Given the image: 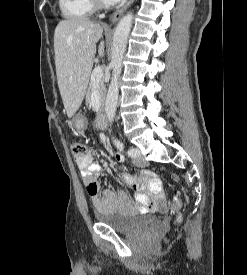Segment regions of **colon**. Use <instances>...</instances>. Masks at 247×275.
<instances>
[{"mask_svg":"<svg viewBox=\"0 0 247 275\" xmlns=\"http://www.w3.org/2000/svg\"><path fill=\"white\" fill-rule=\"evenodd\" d=\"M71 151L73 156L79 160L83 159L87 156V148L83 143L80 142H74L71 145ZM87 191L89 194L95 193L96 192V186L94 184L87 185ZM169 207L171 210L177 212V217L176 221L180 223L182 221V214L179 212L181 208V198L180 194L176 193L172 199V201L169 204Z\"/></svg>","mask_w":247,"mask_h":275,"instance_id":"obj_1","label":"colon"}]
</instances>
